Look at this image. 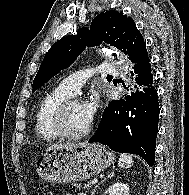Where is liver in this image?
Wrapping results in <instances>:
<instances>
[{
    "label": "liver",
    "mask_w": 189,
    "mask_h": 195,
    "mask_svg": "<svg viewBox=\"0 0 189 195\" xmlns=\"http://www.w3.org/2000/svg\"><path fill=\"white\" fill-rule=\"evenodd\" d=\"M83 144L84 143H79V144H52L46 149V151L69 148V147H76V146L83 145Z\"/></svg>",
    "instance_id": "1"
}]
</instances>
